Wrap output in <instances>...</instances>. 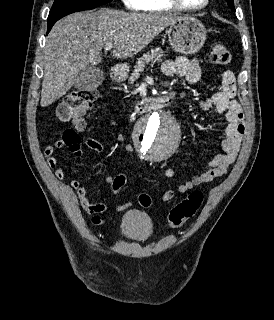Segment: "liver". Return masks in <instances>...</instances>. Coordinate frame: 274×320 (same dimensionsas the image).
I'll return each mask as SVG.
<instances>
[{"label": "liver", "instance_id": "1", "mask_svg": "<svg viewBox=\"0 0 274 320\" xmlns=\"http://www.w3.org/2000/svg\"><path fill=\"white\" fill-rule=\"evenodd\" d=\"M179 18L109 8L62 18L47 36L40 106L45 108L65 96L79 72L101 64L106 44H114L112 56L117 60L132 58Z\"/></svg>", "mask_w": 274, "mask_h": 320}]
</instances>
